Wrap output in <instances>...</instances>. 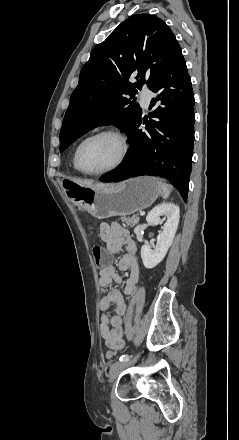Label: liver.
Listing matches in <instances>:
<instances>
[{"label": "liver", "mask_w": 239, "mask_h": 440, "mask_svg": "<svg viewBox=\"0 0 239 440\" xmlns=\"http://www.w3.org/2000/svg\"><path fill=\"white\" fill-rule=\"evenodd\" d=\"M72 182L82 184V186H86V188H105V186H109V184H92V182H88V180H75V178H73Z\"/></svg>", "instance_id": "obj_1"}]
</instances>
